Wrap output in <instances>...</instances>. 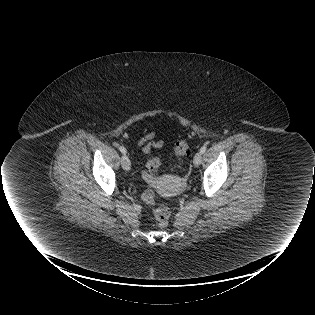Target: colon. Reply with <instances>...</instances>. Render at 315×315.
Wrapping results in <instances>:
<instances>
[{"mask_svg":"<svg viewBox=\"0 0 315 315\" xmlns=\"http://www.w3.org/2000/svg\"><path fill=\"white\" fill-rule=\"evenodd\" d=\"M189 153V145L186 141H178L174 146V154L178 157L187 155ZM162 166V161L159 158H152L147 163V170L145 172V180L149 185L154 182L153 175L160 169ZM142 200L145 204L149 206H154L155 196L153 191L148 188L142 193ZM153 215L160 227H166L169 218L170 210L165 206H159L153 209Z\"/></svg>","mask_w":315,"mask_h":315,"instance_id":"1","label":"colon"}]
</instances>
